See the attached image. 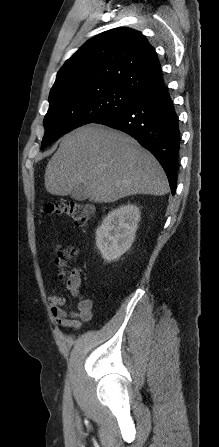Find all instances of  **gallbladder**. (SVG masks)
<instances>
[{"instance_id": "1", "label": "gallbladder", "mask_w": 219, "mask_h": 447, "mask_svg": "<svg viewBox=\"0 0 219 447\" xmlns=\"http://www.w3.org/2000/svg\"><path fill=\"white\" fill-rule=\"evenodd\" d=\"M70 197L77 201H84L88 198L86 188L84 185H79L78 188H75L70 193Z\"/></svg>"}]
</instances>
